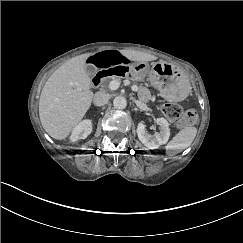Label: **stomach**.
I'll return each instance as SVG.
<instances>
[{
	"instance_id": "1",
	"label": "stomach",
	"mask_w": 243,
	"mask_h": 243,
	"mask_svg": "<svg viewBox=\"0 0 243 243\" xmlns=\"http://www.w3.org/2000/svg\"><path fill=\"white\" fill-rule=\"evenodd\" d=\"M130 73L134 79L148 76L149 84L168 101L185 99L191 89L187 76L166 62L159 61L151 67L146 62L134 63Z\"/></svg>"
}]
</instances>
